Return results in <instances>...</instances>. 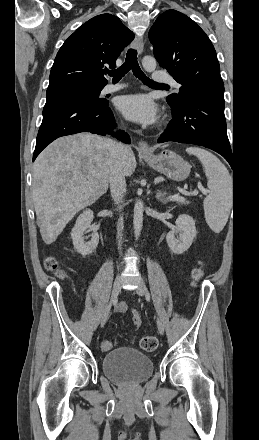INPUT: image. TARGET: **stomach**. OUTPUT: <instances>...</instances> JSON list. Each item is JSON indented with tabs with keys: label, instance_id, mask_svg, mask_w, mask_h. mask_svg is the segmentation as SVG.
<instances>
[{
	"label": "stomach",
	"instance_id": "1",
	"mask_svg": "<svg viewBox=\"0 0 259 440\" xmlns=\"http://www.w3.org/2000/svg\"><path fill=\"white\" fill-rule=\"evenodd\" d=\"M144 160L155 171L174 181H183L190 174V164L170 150H163L153 157L144 156Z\"/></svg>",
	"mask_w": 259,
	"mask_h": 440
}]
</instances>
